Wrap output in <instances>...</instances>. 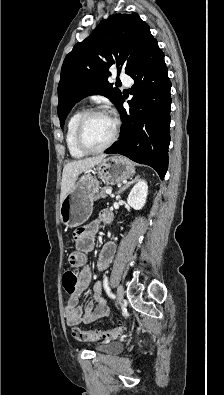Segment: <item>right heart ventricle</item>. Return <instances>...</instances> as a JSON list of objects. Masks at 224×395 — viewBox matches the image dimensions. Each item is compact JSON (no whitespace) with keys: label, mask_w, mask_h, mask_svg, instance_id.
<instances>
[{"label":"right heart ventricle","mask_w":224,"mask_h":395,"mask_svg":"<svg viewBox=\"0 0 224 395\" xmlns=\"http://www.w3.org/2000/svg\"><path fill=\"white\" fill-rule=\"evenodd\" d=\"M84 113V109L80 108L75 110L69 117L66 125V145L70 155L73 158L79 159L86 155L76 143V126Z\"/></svg>","instance_id":"e07e8e85"}]
</instances>
